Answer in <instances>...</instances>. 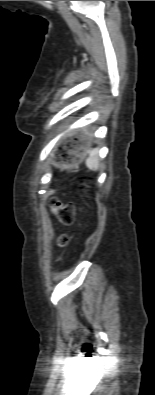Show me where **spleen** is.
I'll list each match as a JSON object with an SVG mask.
<instances>
[{"label":"spleen","mask_w":155,"mask_h":395,"mask_svg":"<svg viewBox=\"0 0 155 395\" xmlns=\"http://www.w3.org/2000/svg\"><path fill=\"white\" fill-rule=\"evenodd\" d=\"M87 166L92 170H97L99 167L98 150L93 149L90 151L89 158L86 160Z\"/></svg>","instance_id":"3e777b00"}]
</instances>
